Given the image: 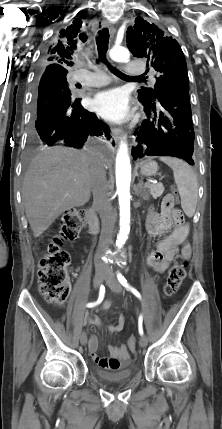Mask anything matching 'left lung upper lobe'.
Listing matches in <instances>:
<instances>
[{
	"label": "left lung upper lobe",
	"instance_id": "1",
	"mask_svg": "<svg viewBox=\"0 0 222 429\" xmlns=\"http://www.w3.org/2000/svg\"><path fill=\"white\" fill-rule=\"evenodd\" d=\"M126 42L135 57L150 59L158 72L154 90L144 87L139 90L142 100L155 101L159 91L168 83H178L189 89L187 65L180 45L155 24L137 17L135 25L128 27Z\"/></svg>",
	"mask_w": 222,
	"mask_h": 429
}]
</instances>
